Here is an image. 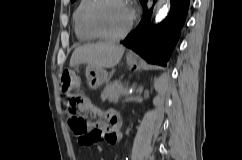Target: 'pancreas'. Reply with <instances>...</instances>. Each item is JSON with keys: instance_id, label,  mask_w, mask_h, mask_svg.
Listing matches in <instances>:
<instances>
[{"instance_id": "cf45deb5", "label": "pancreas", "mask_w": 242, "mask_h": 160, "mask_svg": "<svg viewBox=\"0 0 242 160\" xmlns=\"http://www.w3.org/2000/svg\"><path fill=\"white\" fill-rule=\"evenodd\" d=\"M128 95V86H124L120 81H114L106 85L101 93L102 101L117 102L121 96Z\"/></svg>"}]
</instances>
